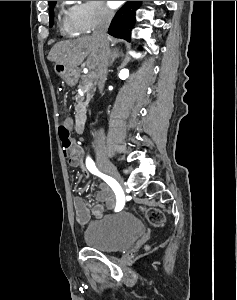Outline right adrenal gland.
<instances>
[{
  "instance_id": "obj_1",
  "label": "right adrenal gland",
  "mask_w": 237,
  "mask_h": 300,
  "mask_svg": "<svg viewBox=\"0 0 237 300\" xmlns=\"http://www.w3.org/2000/svg\"><path fill=\"white\" fill-rule=\"evenodd\" d=\"M110 63H109V67H112L115 59H117V57H124L123 53H120L119 49H117V47H115V49H113L112 53H110Z\"/></svg>"
}]
</instances>
